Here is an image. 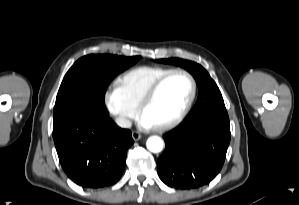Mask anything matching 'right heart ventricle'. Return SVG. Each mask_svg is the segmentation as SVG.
Wrapping results in <instances>:
<instances>
[{"mask_svg": "<svg viewBox=\"0 0 299 205\" xmlns=\"http://www.w3.org/2000/svg\"><path fill=\"white\" fill-rule=\"evenodd\" d=\"M173 70L161 66H138L123 73L116 81L125 100L138 108L143 96L161 76Z\"/></svg>", "mask_w": 299, "mask_h": 205, "instance_id": "1", "label": "right heart ventricle"}]
</instances>
